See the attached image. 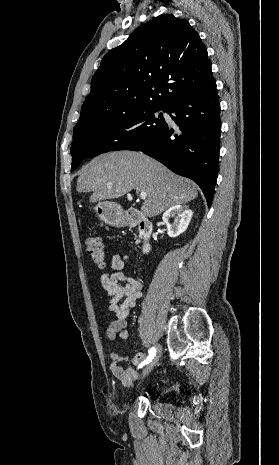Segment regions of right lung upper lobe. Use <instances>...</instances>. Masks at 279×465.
<instances>
[{
    "label": "right lung upper lobe",
    "mask_w": 279,
    "mask_h": 465,
    "mask_svg": "<svg viewBox=\"0 0 279 465\" xmlns=\"http://www.w3.org/2000/svg\"><path fill=\"white\" fill-rule=\"evenodd\" d=\"M212 78L206 47L189 22L159 15L103 57L76 126L101 125L145 108L165 109Z\"/></svg>",
    "instance_id": "right-lung-upper-lobe-1"
}]
</instances>
